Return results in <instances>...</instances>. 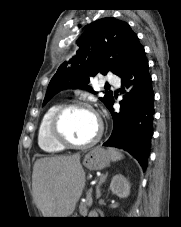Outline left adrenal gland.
Listing matches in <instances>:
<instances>
[{
	"label": "left adrenal gland",
	"instance_id": "left-adrenal-gland-1",
	"mask_svg": "<svg viewBox=\"0 0 181 227\" xmlns=\"http://www.w3.org/2000/svg\"><path fill=\"white\" fill-rule=\"evenodd\" d=\"M107 176H108V172H106V174H102L100 181L98 182V185L96 186L97 199H99L101 197L100 187L107 179Z\"/></svg>",
	"mask_w": 181,
	"mask_h": 227
}]
</instances>
